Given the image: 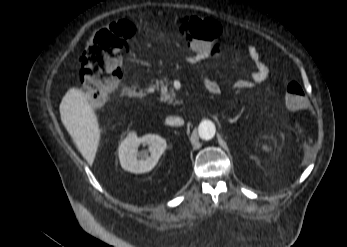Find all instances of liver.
<instances>
[{
  "mask_svg": "<svg viewBox=\"0 0 347 247\" xmlns=\"http://www.w3.org/2000/svg\"><path fill=\"white\" fill-rule=\"evenodd\" d=\"M90 100L91 95L82 89L70 88L62 98L60 115L82 156L91 165L97 152L101 130Z\"/></svg>",
  "mask_w": 347,
  "mask_h": 247,
  "instance_id": "liver-1",
  "label": "liver"
}]
</instances>
